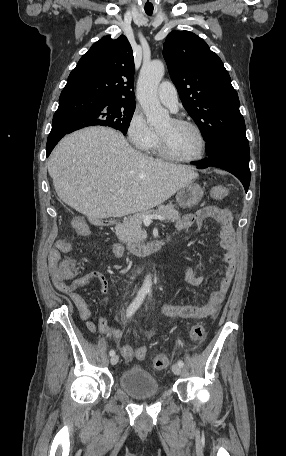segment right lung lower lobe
Segmentation results:
<instances>
[{
    "mask_svg": "<svg viewBox=\"0 0 286 456\" xmlns=\"http://www.w3.org/2000/svg\"><path fill=\"white\" fill-rule=\"evenodd\" d=\"M85 96L75 91H62L59 107L54 114L52 129L47 139V157L64 135L75 131L74 125L78 116L77 108L84 101Z\"/></svg>",
    "mask_w": 286,
    "mask_h": 456,
    "instance_id": "right-lung-lower-lobe-1",
    "label": "right lung lower lobe"
}]
</instances>
